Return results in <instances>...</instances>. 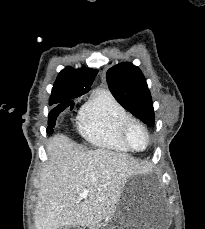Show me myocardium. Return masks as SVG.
<instances>
[{
	"instance_id": "1",
	"label": "myocardium",
	"mask_w": 205,
	"mask_h": 229,
	"mask_svg": "<svg viewBox=\"0 0 205 229\" xmlns=\"http://www.w3.org/2000/svg\"><path fill=\"white\" fill-rule=\"evenodd\" d=\"M133 126L140 127L146 136V144L141 149L134 147L129 139V132ZM121 137L124 143L128 146V148L135 152H142L146 150L151 142V137H150V133H149L147 126L142 121L136 118H131V117L127 121L124 122L122 129H121Z\"/></svg>"
}]
</instances>
